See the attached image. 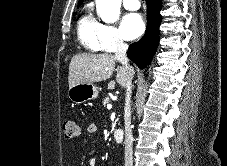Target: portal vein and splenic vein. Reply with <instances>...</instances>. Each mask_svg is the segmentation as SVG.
I'll return each mask as SVG.
<instances>
[{
    "mask_svg": "<svg viewBox=\"0 0 227 166\" xmlns=\"http://www.w3.org/2000/svg\"><path fill=\"white\" fill-rule=\"evenodd\" d=\"M112 108V105L111 104H108L107 105V109H111Z\"/></svg>",
    "mask_w": 227,
    "mask_h": 166,
    "instance_id": "obj_1",
    "label": "portal vein and splenic vein"
}]
</instances>
